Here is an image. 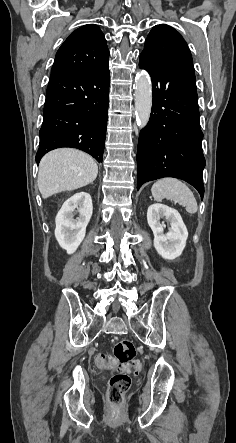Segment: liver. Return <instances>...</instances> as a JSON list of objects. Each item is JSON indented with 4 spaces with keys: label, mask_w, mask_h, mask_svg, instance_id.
Returning a JSON list of instances; mask_svg holds the SVG:
<instances>
[{
    "label": "liver",
    "mask_w": 236,
    "mask_h": 443,
    "mask_svg": "<svg viewBox=\"0 0 236 443\" xmlns=\"http://www.w3.org/2000/svg\"><path fill=\"white\" fill-rule=\"evenodd\" d=\"M98 174L95 160L72 148L47 153L39 164L38 188L42 198L72 191L92 183Z\"/></svg>",
    "instance_id": "1"
}]
</instances>
